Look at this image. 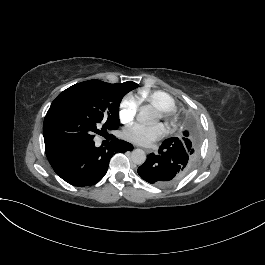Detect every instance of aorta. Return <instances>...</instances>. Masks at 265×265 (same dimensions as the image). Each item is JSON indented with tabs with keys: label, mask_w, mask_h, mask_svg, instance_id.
<instances>
[{
	"label": "aorta",
	"mask_w": 265,
	"mask_h": 265,
	"mask_svg": "<svg viewBox=\"0 0 265 265\" xmlns=\"http://www.w3.org/2000/svg\"><path fill=\"white\" fill-rule=\"evenodd\" d=\"M153 118V111L150 106L143 107L137 116V120L145 124L152 123ZM131 160L137 165H142L146 160V154L142 149H135L131 153Z\"/></svg>",
	"instance_id": "aorta-1"
}]
</instances>
